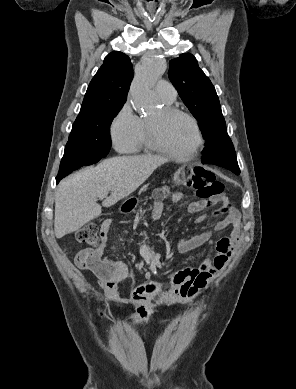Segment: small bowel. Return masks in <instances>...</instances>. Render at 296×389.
<instances>
[{
    "label": "small bowel",
    "mask_w": 296,
    "mask_h": 389,
    "mask_svg": "<svg viewBox=\"0 0 296 389\" xmlns=\"http://www.w3.org/2000/svg\"><path fill=\"white\" fill-rule=\"evenodd\" d=\"M154 196V215L159 214L162 201L165 198L170 196L175 203H179L183 199L181 192L171 190L166 186L158 188ZM208 206L207 202L198 200L188 205V211L197 213ZM216 216H219L220 219L215 225V230L219 231L232 225L230 234L217 240L214 244V252L200 262L198 266L186 267L175 272L170 277L168 284L148 282L136 287L132 292V299L136 304L134 313L135 323H150L154 320L151 309L153 300L166 297L175 304H183L205 289L214 275L224 268L235 247L241 241L240 214L226 198H223ZM110 226V221L103 223L101 228L102 244L96 249H84L79 252L76 257V264L81 269L92 271L107 299L117 301L119 299L118 284L129 276V269L121 261H109L104 258L109 243L108 234ZM210 236V232H203L191 238L183 239L178 243V250L180 253L194 250L207 242Z\"/></svg>",
    "instance_id": "1"
}]
</instances>
